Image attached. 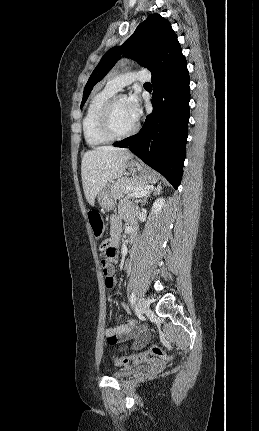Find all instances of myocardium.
Here are the masks:
<instances>
[{"mask_svg":"<svg viewBox=\"0 0 259 431\" xmlns=\"http://www.w3.org/2000/svg\"><path fill=\"white\" fill-rule=\"evenodd\" d=\"M124 98L126 97L123 94L112 95L104 102L98 113L99 130L104 136L111 140L127 138L134 135L139 129L138 122H135L134 126L126 132H118L114 127L113 109L116 103Z\"/></svg>","mask_w":259,"mask_h":431,"instance_id":"f54148a6","label":"myocardium"}]
</instances>
